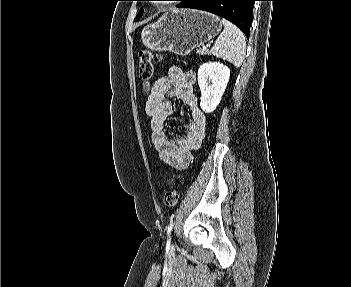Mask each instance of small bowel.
<instances>
[{
    "mask_svg": "<svg viewBox=\"0 0 351 287\" xmlns=\"http://www.w3.org/2000/svg\"><path fill=\"white\" fill-rule=\"evenodd\" d=\"M194 81L193 72L172 66L167 75L156 80L145 104V112L151 121L154 148L163 161L177 169H184L189 165L192 151L199 147L206 128V117L198 105ZM170 97L180 100L191 116V121L172 139L165 131L167 119L173 114Z\"/></svg>",
    "mask_w": 351,
    "mask_h": 287,
    "instance_id": "small-bowel-1",
    "label": "small bowel"
}]
</instances>
